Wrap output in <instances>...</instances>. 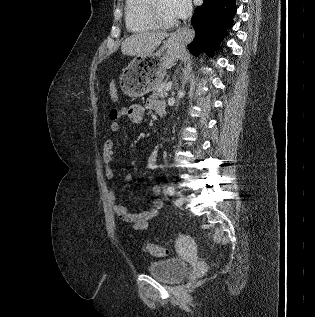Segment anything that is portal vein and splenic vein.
Masks as SVG:
<instances>
[{
  "instance_id": "portal-vein-and-splenic-vein-1",
  "label": "portal vein and splenic vein",
  "mask_w": 315,
  "mask_h": 317,
  "mask_svg": "<svg viewBox=\"0 0 315 317\" xmlns=\"http://www.w3.org/2000/svg\"><path fill=\"white\" fill-rule=\"evenodd\" d=\"M172 87V82H168L166 85H165V91H169Z\"/></svg>"
}]
</instances>
